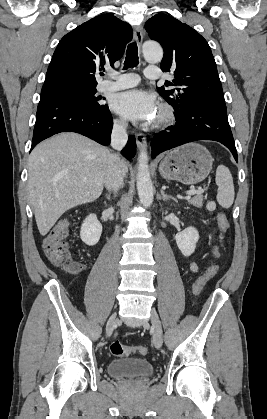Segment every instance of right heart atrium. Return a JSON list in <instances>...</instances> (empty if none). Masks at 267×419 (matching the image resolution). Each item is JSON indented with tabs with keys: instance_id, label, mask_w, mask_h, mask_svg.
I'll list each match as a JSON object with an SVG mask.
<instances>
[{
	"instance_id": "obj_1",
	"label": "right heart atrium",
	"mask_w": 267,
	"mask_h": 419,
	"mask_svg": "<svg viewBox=\"0 0 267 419\" xmlns=\"http://www.w3.org/2000/svg\"><path fill=\"white\" fill-rule=\"evenodd\" d=\"M114 123H115V127L119 129H122L125 125L121 119H116Z\"/></svg>"
}]
</instances>
